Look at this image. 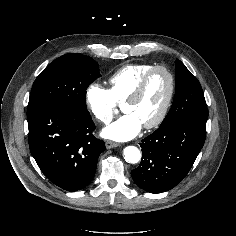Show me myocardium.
<instances>
[{
  "instance_id": "obj_1",
  "label": "myocardium",
  "mask_w": 236,
  "mask_h": 236,
  "mask_svg": "<svg viewBox=\"0 0 236 236\" xmlns=\"http://www.w3.org/2000/svg\"><path fill=\"white\" fill-rule=\"evenodd\" d=\"M157 71H162L167 75L168 81H169L168 93H167L164 105H163L160 113L158 114V116L153 121H151L147 124H144V127L146 129H152V128H155V127L159 126L164 121V119L167 116L168 111L171 107L173 97H174V93H175V78H174V75L171 72V70L168 67L163 66V65L153 66L151 69H149L142 76V78L140 79V81L136 85L135 89L128 96V98L124 101V105L127 104V103L137 101L141 97V95H142V93H143V91L146 87V84H147L148 80Z\"/></svg>"
}]
</instances>
